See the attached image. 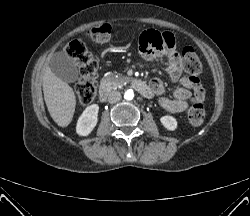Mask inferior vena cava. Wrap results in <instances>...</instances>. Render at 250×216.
<instances>
[{
	"mask_svg": "<svg viewBox=\"0 0 250 216\" xmlns=\"http://www.w3.org/2000/svg\"><path fill=\"white\" fill-rule=\"evenodd\" d=\"M121 99V93L119 91H113L108 96L109 103H117Z\"/></svg>",
	"mask_w": 250,
	"mask_h": 216,
	"instance_id": "602c4592",
	"label": "inferior vena cava"
}]
</instances>
